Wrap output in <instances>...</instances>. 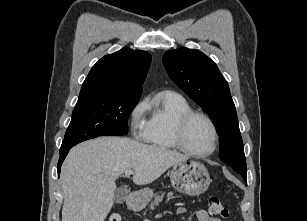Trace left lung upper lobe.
Returning <instances> with one entry per match:
<instances>
[{
    "instance_id": "left-lung-upper-lobe-1",
    "label": "left lung upper lobe",
    "mask_w": 307,
    "mask_h": 221,
    "mask_svg": "<svg viewBox=\"0 0 307 221\" xmlns=\"http://www.w3.org/2000/svg\"><path fill=\"white\" fill-rule=\"evenodd\" d=\"M170 78L214 121L220 159L240 174L247 173L236 109L228 83L216 64L196 49L179 48L163 56Z\"/></svg>"
}]
</instances>
